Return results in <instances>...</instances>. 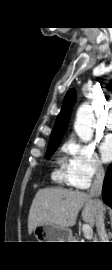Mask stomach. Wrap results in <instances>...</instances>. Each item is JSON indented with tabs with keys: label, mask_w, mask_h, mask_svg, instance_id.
Wrapping results in <instances>:
<instances>
[{
	"label": "stomach",
	"mask_w": 112,
	"mask_h": 270,
	"mask_svg": "<svg viewBox=\"0 0 112 270\" xmlns=\"http://www.w3.org/2000/svg\"><path fill=\"white\" fill-rule=\"evenodd\" d=\"M38 242H72V231L55 225H39L33 230Z\"/></svg>",
	"instance_id": "obj_1"
}]
</instances>
